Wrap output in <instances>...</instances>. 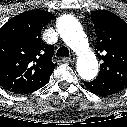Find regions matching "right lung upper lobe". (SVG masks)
I'll return each instance as SVG.
<instances>
[{"label": "right lung upper lobe", "mask_w": 127, "mask_h": 127, "mask_svg": "<svg viewBox=\"0 0 127 127\" xmlns=\"http://www.w3.org/2000/svg\"><path fill=\"white\" fill-rule=\"evenodd\" d=\"M42 10L23 12L0 28V86L12 92L45 85L53 73V46L41 40L52 19Z\"/></svg>", "instance_id": "1"}]
</instances>
